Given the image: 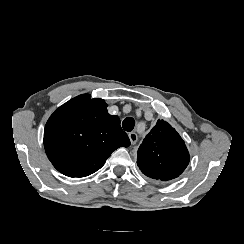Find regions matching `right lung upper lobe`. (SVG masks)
I'll list each match as a JSON object with an SVG mask.
<instances>
[{
  "label": "right lung upper lobe",
  "mask_w": 244,
  "mask_h": 244,
  "mask_svg": "<svg viewBox=\"0 0 244 244\" xmlns=\"http://www.w3.org/2000/svg\"><path fill=\"white\" fill-rule=\"evenodd\" d=\"M129 145L119 117L107 112L104 100L90 99L88 94L59 107L44 129V147L49 160L69 177H85L96 172L114 150Z\"/></svg>",
  "instance_id": "cb5924a9"
}]
</instances>
